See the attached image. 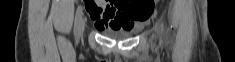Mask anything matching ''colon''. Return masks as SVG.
I'll return each instance as SVG.
<instances>
[{"label":"colon","instance_id":"1","mask_svg":"<svg viewBox=\"0 0 235 62\" xmlns=\"http://www.w3.org/2000/svg\"><path fill=\"white\" fill-rule=\"evenodd\" d=\"M153 11V0H132L126 3V14L138 21H145Z\"/></svg>","mask_w":235,"mask_h":62}]
</instances>
